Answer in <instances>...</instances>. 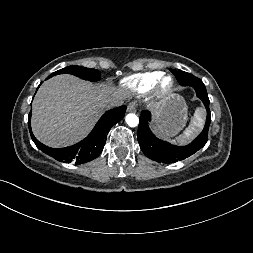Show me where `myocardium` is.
<instances>
[{
  "label": "myocardium",
  "mask_w": 253,
  "mask_h": 253,
  "mask_svg": "<svg viewBox=\"0 0 253 253\" xmlns=\"http://www.w3.org/2000/svg\"><path fill=\"white\" fill-rule=\"evenodd\" d=\"M165 79L170 80L168 86H164L163 82ZM175 87V79L172 75L163 73L155 82L152 88V97L156 100H161L169 96Z\"/></svg>",
  "instance_id": "myocardium-1"
}]
</instances>
